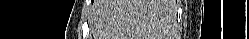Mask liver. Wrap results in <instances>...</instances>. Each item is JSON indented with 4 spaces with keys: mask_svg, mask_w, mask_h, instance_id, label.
I'll return each instance as SVG.
<instances>
[{
    "mask_svg": "<svg viewBox=\"0 0 249 39\" xmlns=\"http://www.w3.org/2000/svg\"><path fill=\"white\" fill-rule=\"evenodd\" d=\"M172 24V0H100L94 39H164Z\"/></svg>",
    "mask_w": 249,
    "mask_h": 39,
    "instance_id": "liver-1",
    "label": "liver"
}]
</instances>
